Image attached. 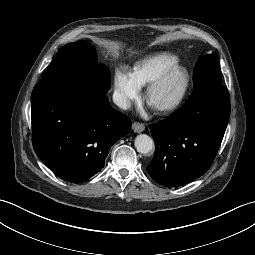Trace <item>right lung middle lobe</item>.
Here are the masks:
<instances>
[{
	"instance_id": "1",
	"label": "right lung middle lobe",
	"mask_w": 255,
	"mask_h": 255,
	"mask_svg": "<svg viewBox=\"0 0 255 255\" xmlns=\"http://www.w3.org/2000/svg\"><path fill=\"white\" fill-rule=\"evenodd\" d=\"M44 78L81 80L105 94L110 88L107 67L97 63L96 50L86 41L68 43L61 47L42 75Z\"/></svg>"
}]
</instances>
